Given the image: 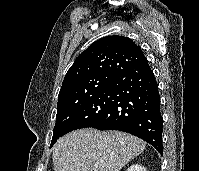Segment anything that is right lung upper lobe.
Wrapping results in <instances>:
<instances>
[{
	"instance_id": "1",
	"label": "right lung upper lobe",
	"mask_w": 199,
	"mask_h": 171,
	"mask_svg": "<svg viewBox=\"0 0 199 171\" xmlns=\"http://www.w3.org/2000/svg\"><path fill=\"white\" fill-rule=\"evenodd\" d=\"M146 60L140 47L123 36H107L92 43L68 70L60 94L96 75H117Z\"/></svg>"
}]
</instances>
